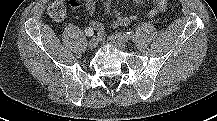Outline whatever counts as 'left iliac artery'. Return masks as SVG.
Instances as JSON below:
<instances>
[{
    "label": "left iliac artery",
    "mask_w": 217,
    "mask_h": 121,
    "mask_svg": "<svg viewBox=\"0 0 217 121\" xmlns=\"http://www.w3.org/2000/svg\"><path fill=\"white\" fill-rule=\"evenodd\" d=\"M132 35H133L132 31L120 32L118 34V36L124 39L125 41H128L132 37Z\"/></svg>",
    "instance_id": "44dca946"
}]
</instances>
